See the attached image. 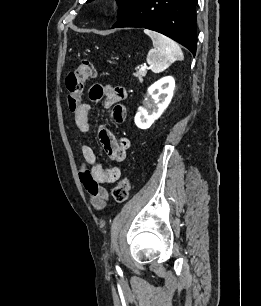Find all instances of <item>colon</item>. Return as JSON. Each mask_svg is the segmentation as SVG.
<instances>
[{
    "label": "colon",
    "mask_w": 261,
    "mask_h": 306,
    "mask_svg": "<svg viewBox=\"0 0 261 306\" xmlns=\"http://www.w3.org/2000/svg\"><path fill=\"white\" fill-rule=\"evenodd\" d=\"M96 76V70L89 60H82L80 65L69 72L65 79L67 89V104L74 111L81 103V96L85 83ZM131 184L127 177L121 179L112 190V196L116 202H124L128 199Z\"/></svg>",
    "instance_id": "5ec220e1"
}]
</instances>
